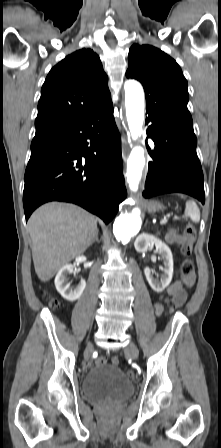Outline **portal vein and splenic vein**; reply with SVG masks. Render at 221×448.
Wrapping results in <instances>:
<instances>
[{"instance_id": "18ae733b", "label": "portal vein and splenic vein", "mask_w": 221, "mask_h": 448, "mask_svg": "<svg viewBox=\"0 0 221 448\" xmlns=\"http://www.w3.org/2000/svg\"><path fill=\"white\" fill-rule=\"evenodd\" d=\"M167 222H168V220H167V218L165 217L164 219H162V220L160 221V224H161V225H165Z\"/></svg>"}]
</instances>
